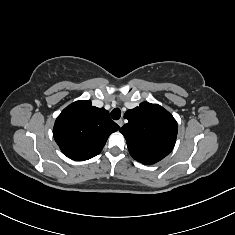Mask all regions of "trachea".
I'll list each match as a JSON object with an SVG mask.
<instances>
[{
    "label": "trachea",
    "mask_w": 235,
    "mask_h": 235,
    "mask_svg": "<svg viewBox=\"0 0 235 235\" xmlns=\"http://www.w3.org/2000/svg\"><path fill=\"white\" fill-rule=\"evenodd\" d=\"M111 117L114 120H118L121 117V110L119 108H115L111 111Z\"/></svg>",
    "instance_id": "trachea-1"
}]
</instances>
